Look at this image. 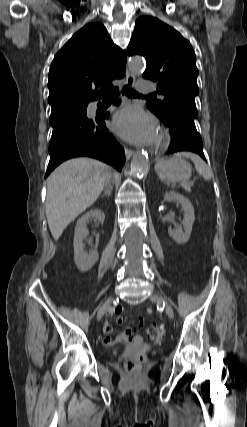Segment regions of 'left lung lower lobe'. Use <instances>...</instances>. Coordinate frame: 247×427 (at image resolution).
<instances>
[{
    "label": "left lung lower lobe",
    "instance_id": "left-lung-lower-lobe-1",
    "mask_svg": "<svg viewBox=\"0 0 247 427\" xmlns=\"http://www.w3.org/2000/svg\"><path fill=\"white\" fill-rule=\"evenodd\" d=\"M170 128L172 142L167 153L189 151L199 155L206 161L203 153V144L200 134L197 132L194 119L176 114L163 120Z\"/></svg>",
    "mask_w": 247,
    "mask_h": 427
}]
</instances>
